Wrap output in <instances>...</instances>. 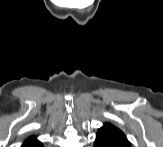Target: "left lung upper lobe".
<instances>
[{"label": "left lung upper lobe", "mask_w": 163, "mask_h": 147, "mask_svg": "<svg viewBox=\"0 0 163 147\" xmlns=\"http://www.w3.org/2000/svg\"><path fill=\"white\" fill-rule=\"evenodd\" d=\"M104 126L115 127V126H113V125L110 124V123H106ZM115 128H116V127H115Z\"/></svg>", "instance_id": "5c2ea615"}]
</instances>
